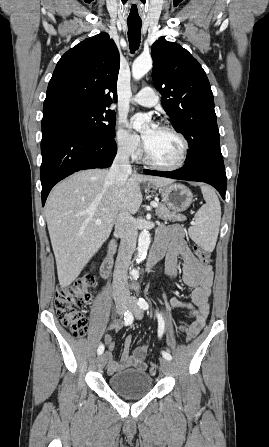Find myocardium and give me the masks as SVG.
<instances>
[{
	"label": "myocardium",
	"mask_w": 269,
	"mask_h": 447,
	"mask_svg": "<svg viewBox=\"0 0 269 447\" xmlns=\"http://www.w3.org/2000/svg\"><path fill=\"white\" fill-rule=\"evenodd\" d=\"M158 127L173 132L182 140L183 149L181 152V156H180L179 160L177 161V163H175L173 165H164V164L158 163L151 158L148 147H147L146 142L143 138V153H144L143 160L148 165L158 168V169H161V170H167V171L178 170L181 167H183V165L185 164V162L187 160L188 153H189V147H190L189 140L183 132H181L180 130H178L177 128H175L172 125L161 124Z\"/></svg>",
	"instance_id": "myocardium-1"
}]
</instances>
